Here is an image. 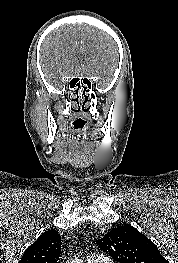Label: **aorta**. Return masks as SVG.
<instances>
[{
	"label": "aorta",
	"mask_w": 178,
	"mask_h": 263,
	"mask_svg": "<svg viewBox=\"0 0 178 263\" xmlns=\"http://www.w3.org/2000/svg\"><path fill=\"white\" fill-rule=\"evenodd\" d=\"M71 263H83V261L76 259V260H73Z\"/></svg>",
	"instance_id": "1"
}]
</instances>
